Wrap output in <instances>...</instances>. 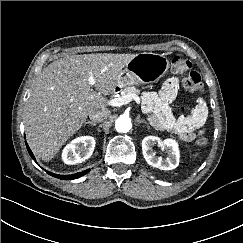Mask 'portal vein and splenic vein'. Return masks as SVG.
<instances>
[{
  "label": "portal vein and splenic vein",
  "mask_w": 243,
  "mask_h": 243,
  "mask_svg": "<svg viewBox=\"0 0 243 243\" xmlns=\"http://www.w3.org/2000/svg\"><path fill=\"white\" fill-rule=\"evenodd\" d=\"M88 82L91 86H93L96 83L95 78L93 76L89 77ZM132 100H135L137 104H140V98L138 97V95L129 94L110 100L109 105L113 107H120L122 105L128 104Z\"/></svg>",
  "instance_id": "1"
}]
</instances>
